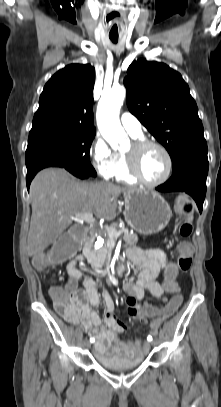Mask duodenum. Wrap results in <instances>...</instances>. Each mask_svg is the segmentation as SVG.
Segmentation results:
<instances>
[{
	"label": "duodenum",
	"mask_w": 221,
	"mask_h": 407,
	"mask_svg": "<svg viewBox=\"0 0 221 407\" xmlns=\"http://www.w3.org/2000/svg\"><path fill=\"white\" fill-rule=\"evenodd\" d=\"M89 228H87V233H89ZM125 269H126V266L124 265V264H121L119 267H118V269H117V271H118V273H122V272H124L125 271Z\"/></svg>",
	"instance_id": "410a0bca"
}]
</instances>
